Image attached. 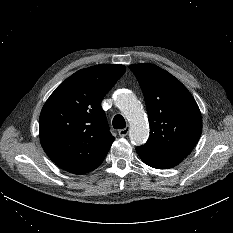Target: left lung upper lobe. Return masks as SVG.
<instances>
[{
	"mask_svg": "<svg viewBox=\"0 0 233 233\" xmlns=\"http://www.w3.org/2000/svg\"><path fill=\"white\" fill-rule=\"evenodd\" d=\"M143 91L150 135L141 147L166 156L185 158L202 132L199 107L186 87L153 64L129 66Z\"/></svg>",
	"mask_w": 233,
	"mask_h": 233,
	"instance_id": "1",
	"label": "left lung upper lobe"
}]
</instances>
